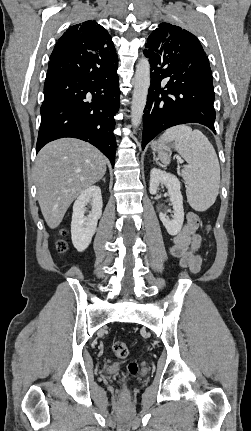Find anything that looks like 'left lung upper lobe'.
<instances>
[{"label": "left lung upper lobe", "mask_w": 251, "mask_h": 431, "mask_svg": "<svg viewBox=\"0 0 251 431\" xmlns=\"http://www.w3.org/2000/svg\"><path fill=\"white\" fill-rule=\"evenodd\" d=\"M149 37L163 42L167 41L172 44L182 43L183 45H186L188 43H194L202 49L201 44L193 34L181 27L169 23L159 24L158 28L155 29Z\"/></svg>", "instance_id": "5c2ea615"}]
</instances>
